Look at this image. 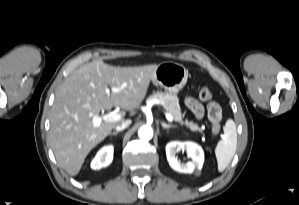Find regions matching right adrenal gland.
Returning <instances> with one entry per match:
<instances>
[{"label":"right adrenal gland","mask_w":299,"mask_h":205,"mask_svg":"<svg viewBox=\"0 0 299 205\" xmlns=\"http://www.w3.org/2000/svg\"><path fill=\"white\" fill-rule=\"evenodd\" d=\"M119 132L118 131H115V132H110L109 135H117Z\"/></svg>","instance_id":"1"}]
</instances>
